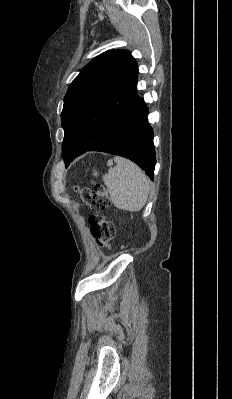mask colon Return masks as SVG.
Segmentation results:
<instances>
[{
    "label": "colon",
    "instance_id": "colon-1",
    "mask_svg": "<svg viewBox=\"0 0 232 399\" xmlns=\"http://www.w3.org/2000/svg\"><path fill=\"white\" fill-rule=\"evenodd\" d=\"M78 196H86V203L83 207L90 209L94 217H87V226L93 230V239L102 240V250L114 249L111 244L112 238H117L118 225H114L111 217H107V204H111V192L106 188L102 189V184H97V191H94V181L90 177L86 178V191L84 186H75ZM97 202V203H94Z\"/></svg>",
    "mask_w": 232,
    "mask_h": 399
}]
</instances>
